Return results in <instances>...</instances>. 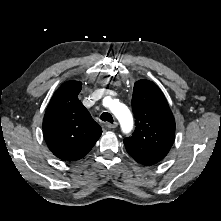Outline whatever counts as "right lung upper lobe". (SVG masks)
Wrapping results in <instances>:
<instances>
[{
    "label": "right lung upper lobe",
    "instance_id": "cb5924a9",
    "mask_svg": "<svg viewBox=\"0 0 221 221\" xmlns=\"http://www.w3.org/2000/svg\"><path fill=\"white\" fill-rule=\"evenodd\" d=\"M82 83L68 81L56 90L43 119V135L52 153L67 161L83 158L101 136V127L78 99Z\"/></svg>",
    "mask_w": 221,
    "mask_h": 221
}]
</instances>
